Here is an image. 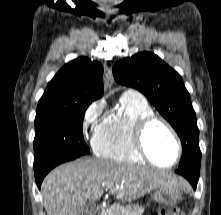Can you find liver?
<instances>
[{"label":"liver","instance_id":"6515ba94","mask_svg":"<svg viewBox=\"0 0 221 215\" xmlns=\"http://www.w3.org/2000/svg\"><path fill=\"white\" fill-rule=\"evenodd\" d=\"M106 184L118 200L132 202L154 189L186 188L185 180L168 172L130 163L81 158L58 166L41 186L47 215H81L87 201L99 200Z\"/></svg>","mask_w":221,"mask_h":215}]
</instances>
